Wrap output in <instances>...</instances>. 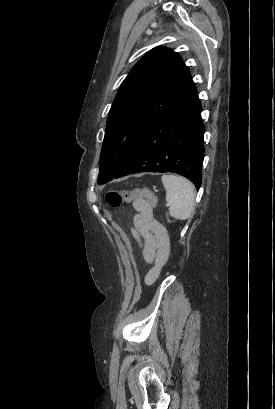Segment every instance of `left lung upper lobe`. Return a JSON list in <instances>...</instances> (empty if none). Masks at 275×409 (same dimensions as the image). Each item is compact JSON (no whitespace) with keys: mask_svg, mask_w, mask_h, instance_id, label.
Here are the masks:
<instances>
[{"mask_svg":"<svg viewBox=\"0 0 275 409\" xmlns=\"http://www.w3.org/2000/svg\"><path fill=\"white\" fill-rule=\"evenodd\" d=\"M194 90L177 53L156 47L144 55L121 84L110 109L97 182L112 180L152 125Z\"/></svg>","mask_w":275,"mask_h":409,"instance_id":"obj_1","label":"left lung upper lobe"}]
</instances>
